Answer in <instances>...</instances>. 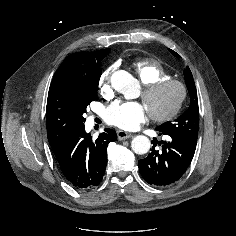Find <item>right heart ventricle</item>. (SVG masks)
Listing matches in <instances>:
<instances>
[{"label": "right heart ventricle", "instance_id": "obj_1", "mask_svg": "<svg viewBox=\"0 0 236 236\" xmlns=\"http://www.w3.org/2000/svg\"><path fill=\"white\" fill-rule=\"evenodd\" d=\"M134 70L142 84L148 85L160 79L171 78L164 65L156 59H143L134 64Z\"/></svg>", "mask_w": 236, "mask_h": 236}]
</instances>
